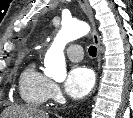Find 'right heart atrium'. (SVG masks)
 <instances>
[{
    "instance_id": "right-heart-atrium-1",
    "label": "right heart atrium",
    "mask_w": 133,
    "mask_h": 118,
    "mask_svg": "<svg viewBox=\"0 0 133 118\" xmlns=\"http://www.w3.org/2000/svg\"><path fill=\"white\" fill-rule=\"evenodd\" d=\"M60 96V89L59 86L52 82L49 85V98L51 99H57Z\"/></svg>"
}]
</instances>
